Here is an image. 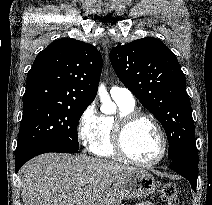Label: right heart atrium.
Returning <instances> with one entry per match:
<instances>
[{"instance_id": "right-heart-atrium-1", "label": "right heart atrium", "mask_w": 212, "mask_h": 205, "mask_svg": "<svg viewBox=\"0 0 212 205\" xmlns=\"http://www.w3.org/2000/svg\"><path fill=\"white\" fill-rule=\"evenodd\" d=\"M98 119L94 104L88 105L81 113L76 125V136L81 145L89 146L92 142L97 130Z\"/></svg>"}]
</instances>
